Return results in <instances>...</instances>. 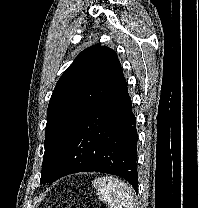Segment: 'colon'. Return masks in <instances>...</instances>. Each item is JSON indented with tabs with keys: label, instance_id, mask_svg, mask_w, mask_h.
<instances>
[{
	"label": "colon",
	"instance_id": "1",
	"mask_svg": "<svg viewBox=\"0 0 199 208\" xmlns=\"http://www.w3.org/2000/svg\"><path fill=\"white\" fill-rule=\"evenodd\" d=\"M48 208H52V207H48ZM66 208H69V207H66ZM74 208H79V207H74Z\"/></svg>",
	"mask_w": 199,
	"mask_h": 208
}]
</instances>
